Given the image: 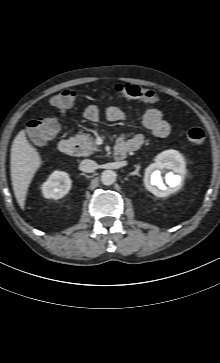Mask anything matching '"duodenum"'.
Masks as SVG:
<instances>
[{"mask_svg": "<svg viewBox=\"0 0 220 363\" xmlns=\"http://www.w3.org/2000/svg\"><path fill=\"white\" fill-rule=\"evenodd\" d=\"M58 150L63 155H72L77 151V144L74 139H64L60 141ZM127 156V149L117 146L114 150V158L116 160H123Z\"/></svg>", "mask_w": 220, "mask_h": 363, "instance_id": "obj_1", "label": "duodenum"}]
</instances>
